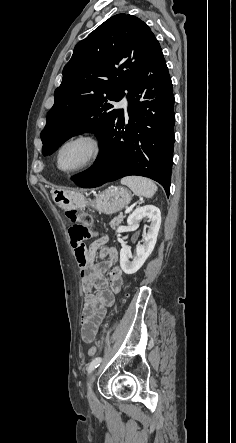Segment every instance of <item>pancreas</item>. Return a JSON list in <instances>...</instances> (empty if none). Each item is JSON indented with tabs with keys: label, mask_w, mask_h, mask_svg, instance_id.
I'll return each instance as SVG.
<instances>
[{
	"label": "pancreas",
	"mask_w": 236,
	"mask_h": 443,
	"mask_svg": "<svg viewBox=\"0 0 236 443\" xmlns=\"http://www.w3.org/2000/svg\"><path fill=\"white\" fill-rule=\"evenodd\" d=\"M124 218H125V216H123V215H119V216L115 217L113 220H111L110 227L112 229H115L116 227H118L122 223Z\"/></svg>",
	"instance_id": "1"
}]
</instances>
